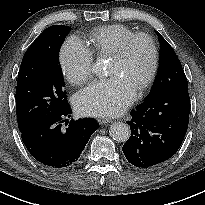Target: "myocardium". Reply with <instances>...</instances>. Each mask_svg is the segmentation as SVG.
<instances>
[{"instance_id":"obj_1","label":"myocardium","mask_w":205,"mask_h":205,"mask_svg":"<svg viewBox=\"0 0 205 205\" xmlns=\"http://www.w3.org/2000/svg\"><path fill=\"white\" fill-rule=\"evenodd\" d=\"M138 39H144L148 43L150 50H151V64H150L148 74L137 88V90L141 92L145 90L152 83L157 73V69H158L159 50H158V47H157V44L154 38L147 33H142V32L134 33L131 36L127 37L122 42L121 46L112 56V58L115 61H121L122 59H124L132 43Z\"/></svg>"}]
</instances>
